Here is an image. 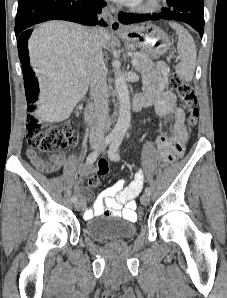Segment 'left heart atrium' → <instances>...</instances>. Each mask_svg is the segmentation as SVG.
I'll use <instances>...</instances> for the list:
<instances>
[{"instance_id": "39dd6f15", "label": "left heart atrium", "mask_w": 227, "mask_h": 298, "mask_svg": "<svg viewBox=\"0 0 227 298\" xmlns=\"http://www.w3.org/2000/svg\"><path fill=\"white\" fill-rule=\"evenodd\" d=\"M114 1H117V2L123 3V4H127V5H132L139 0H114Z\"/></svg>"}]
</instances>
